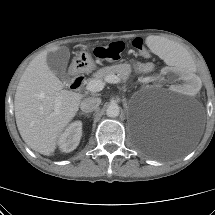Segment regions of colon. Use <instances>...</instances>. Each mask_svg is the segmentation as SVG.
I'll return each instance as SVG.
<instances>
[{
	"label": "colon",
	"instance_id": "1",
	"mask_svg": "<svg viewBox=\"0 0 215 215\" xmlns=\"http://www.w3.org/2000/svg\"><path fill=\"white\" fill-rule=\"evenodd\" d=\"M132 45L136 48L143 56L147 57L148 53L146 52L143 41L140 38L133 40ZM124 50V43L122 42H112L108 45L97 46L94 48V55L100 59L107 60H118L121 57V54Z\"/></svg>",
	"mask_w": 215,
	"mask_h": 215
}]
</instances>
